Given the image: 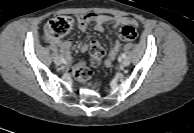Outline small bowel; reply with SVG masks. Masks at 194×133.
Returning a JSON list of instances; mask_svg holds the SVG:
<instances>
[{"label":"small bowel","mask_w":194,"mask_h":133,"mask_svg":"<svg viewBox=\"0 0 194 133\" xmlns=\"http://www.w3.org/2000/svg\"><path fill=\"white\" fill-rule=\"evenodd\" d=\"M76 19L80 29L82 30H86L90 23H94L95 29L99 32H103L107 24H112L114 27L132 26L135 29H137L138 27V23L136 20L129 17H122V16H109L104 14L87 13V14L78 15ZM49 40L59 46L61 52L63 53L64 57L67 60V63L69 64L70 49L72 46L71 41L69 40L58 41L54 39H49ZM94 44H98V42L92 41L89 44H83L81 45L80 50L82 52H86ZM120 48H121V43L119 41H116L115 44L109 50V53L105 62L107 66L111 65L112 61L116 58L118 52L120 51Z\"/></svg>","instance_id":"obj_1"}]
</instances>
